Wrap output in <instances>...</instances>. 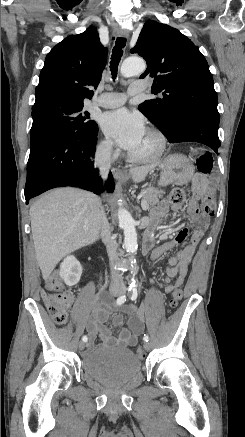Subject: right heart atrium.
<instances>
[{
  "mask_svg": "<svg viewBox=\"0 0 245 437\" xmlns=\"http://www.w3.org/2000/svg\"><path fill=\"white\" fill-rule=\"evenodd\" d=\"M116 156L112 142L107 138H101L95 146L96 161L101 165L110 164Z\"/></svg>",
  "mask_w": 245,
  "mask_h": 437,
  "instance_id": "obj_1",
  "label": "right heart atrium"
}]
</instances>
